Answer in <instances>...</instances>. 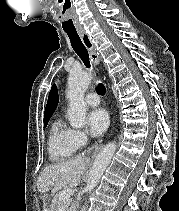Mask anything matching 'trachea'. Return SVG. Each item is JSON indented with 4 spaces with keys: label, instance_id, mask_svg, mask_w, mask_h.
I'll list each match as a JSON object with an SVG mask.
<instances>
[{
    "label": "trachea",
    "instance_id": "1",
    "mask_svg": "<svg viewBox=\"0 0 179 211\" xmlns=\"http://www.w3.org/2000/svg\"><path fill=\"white\" fill-rule=\"evenodd\" d=\"M71 41L72 48L76 52V54L81 58L83 63L87 68H90V60H89V54L82 43L77 31H65ZM97 92L100 95H104L106 92V88L102 83H99L97 86Z\"/></svg>",
    "mask_w": 179,
    "mask_h": 211
}]
</instances>
